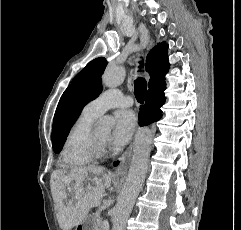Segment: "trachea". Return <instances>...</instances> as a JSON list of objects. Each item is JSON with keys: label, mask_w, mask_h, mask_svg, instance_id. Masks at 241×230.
<instances>
[{"label": "trachea", "mask_w": 241, "mask_h": 230, "mask_svg": "<svg viewBox=\"0 0 241 230\" xmlns=\"http://www.w3.org/2000/svg\"><path fill=\"white\" fill-rule=\"evenodd\" d=\"M143 65V63L141 62ZM147 91V82L144 78L139 77L134 81V94L138 102H144Z\"/></svg>", "instance_id": "3493384b"}]
</instances>
